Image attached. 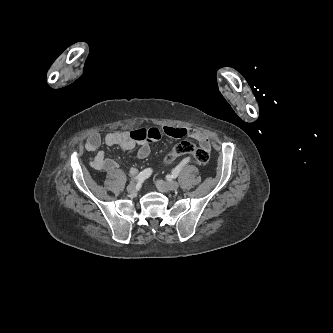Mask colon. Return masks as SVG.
<instances>
[{
  "label": "colon",
  "mask_w": 333,
  "mask_h": 333,
  "mask_svg": "<svg viewBox=\"0 0 333 333\" xmlns=\"http://www.w3.org/2000/svg\"><path fill=\"white\" fill-rule=\"evenodd\" d=\"M184 154H191L194 161L199 165H204L209 161V151L196 147L190 141H182L175 147L174 152L165 158V164H171L176 156Z\"/></svg>",
  "instance_id": "5ec220e1"
}]
</instances>
